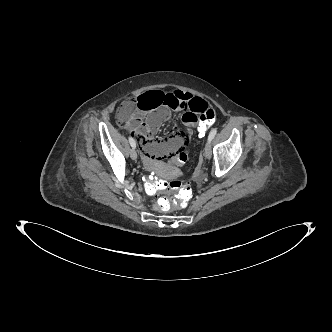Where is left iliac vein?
I'll return each instance as SVG.
<instances>
[{"instance_id": "left-iliac-vein-1", "label": "left iliac vein", "mask_w": 332, "mask_h": 332, "mask_svg": "<svg viewBox=\"0 0 332 332\" xmlns=\"http://www.w3.org/2000/svg\"><path fill=\"white\" fill-rule=\"evenodd\" d=\"M204 156L207 159H210L212 156V151H211V141H207L204 147Z\"/></svg>"}]
</instances>
